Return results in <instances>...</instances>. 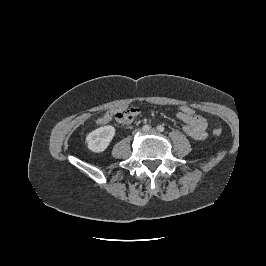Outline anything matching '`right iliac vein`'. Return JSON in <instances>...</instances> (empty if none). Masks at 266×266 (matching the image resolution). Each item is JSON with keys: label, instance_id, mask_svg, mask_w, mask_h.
Segmentation results:
<instances>
[{"label": "right iliac vein", "instance_id": "obj_1", "mask_svg": "<svg viewBox=\"0 0 266 266\" xmlns=\"http://www.w3.org/2000/svg\"><path fill=\"white\" fill-rule=\"evenodd\" d=\"M137 132H141V130H137L136 133H137Z\"/></svg>", "mask_w": 266, "mask_h": 266}]
</instances>
